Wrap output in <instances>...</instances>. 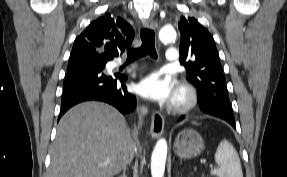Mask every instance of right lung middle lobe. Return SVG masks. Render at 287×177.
Wrapping results in <instances>:
<instances>
[{
	"instance_id": "right-lung-middle-lobe-1",
	"label": "right lung middle lobe",
	"mask_w": 287,
	"mask_h": 177,
	"mask_svg": "<svg viewBox=\"0 0 287 177\" xmlns=\"http://www.w3.org/2000/svg\"><path fill=\"white\" fill-rule=\"evenodd\" d=\"M107 61L108 60L98 57V56H88V57L80 58L77 60L69 61L67 70L73 69V68H76L82 65H86V64H99L105 67V64L107 63Z\"/></svg>"
}]
</instances>
